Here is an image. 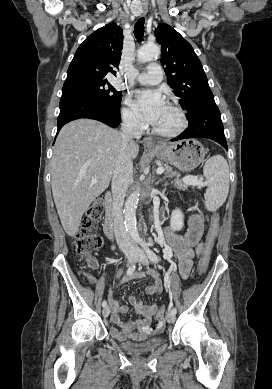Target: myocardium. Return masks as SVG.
I'll use <instances>...</instances> for the list:
<instances>
[{
  "instance_id": "myocardium-1",
  "label": "myocardium",
  "mask_w": 272,
  "mask_h": 389,
  "mask_svg": "<svg viewBox=\"0 0 272 389\" xmlns=\"http://www.w3.org/2000/svg\"><path fill=\"white\" fill-rule=\"evenodd\" d=\"M167 106L172 108L178 116V124L171 130H161L156 127H152V132L158 136L171 138L181 134L188 125V120L183 108L176 102H167Z\"/></svg>"
}]
</instances>
